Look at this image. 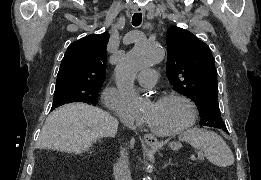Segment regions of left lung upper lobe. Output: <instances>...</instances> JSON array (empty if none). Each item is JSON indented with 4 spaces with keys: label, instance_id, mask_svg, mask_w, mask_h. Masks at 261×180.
Here are the masks:
<instances>
[{
    "label": "left lung upper lobe",
    "instance_id": "left-lung-upper-lobe-1",
    "mask_svg": "<svg viewBox=\"0 0 261 180\" xmlns=\"http://www.w3.org/2000/svg\"><path fill=\"white\" fill-rule=\"evenodd\" d=\"M166 73L175 90L195 102L201 126L226 130L219 111L217 71L209 47L188 30L167 31Z\"/></svg>",
    "mask_w": 261,
    "mask_h": 180
}]
</instances>
